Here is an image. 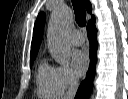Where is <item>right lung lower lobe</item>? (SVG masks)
Listing matches in <instances>:
<instances>
[{
	"instance_id": "98d812e1",
	"label": "right lung lower lobe",
	"mask_w": 128,
	"mask_h": 99,
	"mask_svg": "<svg viewBox=\"0 0 128 99\" xmlns=\"http://www.w3.org/2000/svg\"><path fill=\"white\" fill-rule=\"evenodd\" d=\"M87 33L90 41V68L87 72L86 79L81 83L77 91L75 99H89L93 88V79L95 75V65L97 61V30L95 27V17L93 16L87 25Z\"/></svg>"
}]
</instances>
